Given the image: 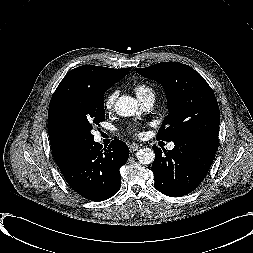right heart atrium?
Masks as SVG:
<instances>
[{"label": "right heart atrium", "mask_w": 253, "mask_h": 253, "mask_svg": "<svg viewBox=\"0 0 253 253\" xmlns=\"http://www.w3.org/2000/svg\"><path fill=\"white\" fill-rule=\"evenodd\" d=\"M118 91L117 90H113L110 93H108V95L105 97L104 99V107L107 110H111L114 107L115 101L118 97Z\"/></svg>", "instance_id": "obj_1"}]
</instances>
